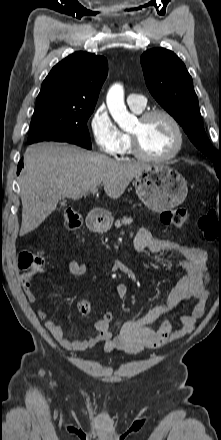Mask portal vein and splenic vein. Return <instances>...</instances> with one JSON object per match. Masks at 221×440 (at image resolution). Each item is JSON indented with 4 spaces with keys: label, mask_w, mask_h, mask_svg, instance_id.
Returning <instances> with one entry per match:
<instances>
[{
    "label": "portal vein and splenic vein",
    "mask_w": 221,
    "mask_h": 440,
    "mask_svg": "<svg viewBox=\"0 0 221 440\" xmlns=\"http://www.w3.org/2000/svg\"><path fill=\"white\" fill-rule=\"evenodd\" d=\"M97 191H98L97 188H93V189H91V192H92V193H96Z\"/></svg>",
    "instance_id": "portal-vein-and-splenic-vein-1"
}]
</instances>
